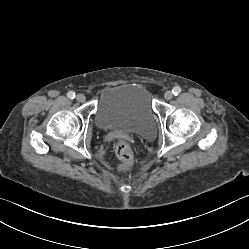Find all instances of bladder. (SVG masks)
Returning <instances> with one entry per match:
<instances>
[{
  "label": "bladder",
  "instance_id": "31cf9c89",
  "mask_svg": "<svg viewBox=\"0 0 249 249\" xmlns=\"http://www.w3.org/2000/svg\"><path fill=\"white\" fill-rule=\"evenodd\" d=\"M94 121L102 130H119L146 138L156 131V113L148 92L136 84L105 88L98 99Z\"/></svg>",
  "mask_w": 249,
  "mask_h": 249
}]
</instances>
